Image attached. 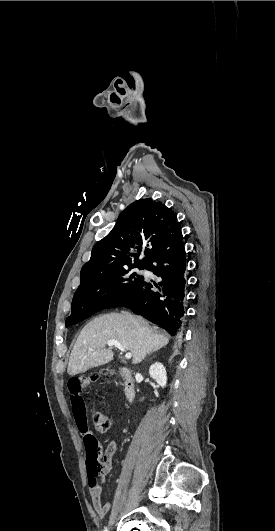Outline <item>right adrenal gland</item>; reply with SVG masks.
I'll use <instances>...</instances> for the list:
<instances>
[{
  "label": "right adrenal gland",
  "mask_w": 275,
  "mask_h": 531,
  "mask_svg": "<svg viewBox=\"0 0 275 531\" xmlns=\"http://www.w3.org/2000/svg\"><path fill=\"white\" fill-rule=\"evenodd\" d=\"M148 355H153V353H148Z\"/></svg>",
  "instance_id": "obj_1"
}]
</instances>
